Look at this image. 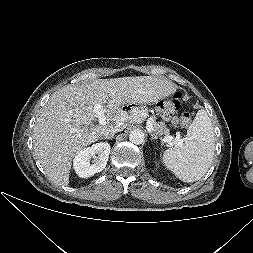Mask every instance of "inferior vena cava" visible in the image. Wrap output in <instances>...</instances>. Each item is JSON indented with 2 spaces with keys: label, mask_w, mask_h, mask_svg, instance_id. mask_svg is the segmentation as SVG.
<instances>
[{
  "label": "inferior vena cava",
  "mask_w": 253,
  "mask_h": 253,
  "mask_svg": "<svg viewBox=\"0 0 253 253\" xmlns=\"http://www.w3.org/2000/svg\"><path fill=\"white\" fill-rule=\"evenodd\" d=\"M119 131H121V130L118 129V128H115V129H112L110 131L105 132L103 136L104 137H109V136L114 135L116 132H119Z\"/></svg>",
  "instance_id": "602c4592"
}]
</instances>
